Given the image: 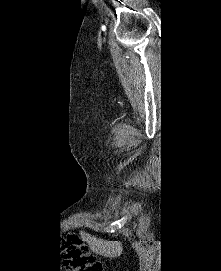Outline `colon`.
Wrapping results in <instances>:
<instances>
[{
	"label": "colon",
	"instance_id": "obj_1",
	"mask_svg": "<svg viewBox=\"0 0 221 271\" xmlns=\"http://www.w3.org/2000/svg\"><path fill=\"white\" fill-rule=\"evenodd\" d=\"M63 248L74 271H103L102 265L95 260L77 234L72 233L65 237Z\"/></svg>",
	"mask_w": 221,
	"mask_h": 271
}]
</instances>
